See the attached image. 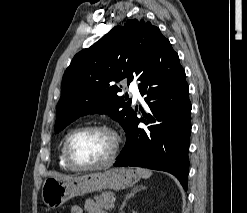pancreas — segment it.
I'll use <instances>...</instances> for the list:
<instances>
[{
    "mask_svg": "<svg viewBox=\"0 0 247 213\" xmlns=\"http://www.w3.org/2000/svg\"><path fill=\"white\" fill-rule=\"evenodd\" d=\"M113 198L114 194L110 191L103 192L102 194L94 197L96 204L104 210H108L110 208V203L113 201Z\"/></svg>",
    "mask_w": 247,
    "mask_h": 213,
    "instance_id": "1",
    "label": "pancreas"
}]
</instances>
